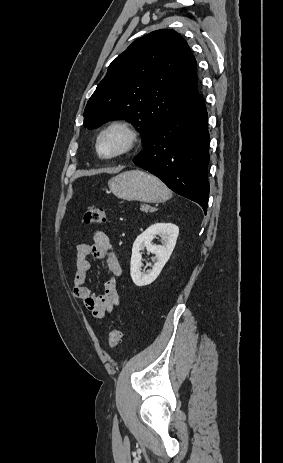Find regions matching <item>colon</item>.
<instances>
[{"label": "colon", "instance_id": "5ec220e1", "mask_svg": "<svg viewBox=\"0 0 283 463\" xmlns=\"http://www.w3.org/2000/svg\"><path fill=\"white\" fill-rule=\"evenodd\" d=\"M84 222L87 224H101L106 220L104 209L100 207L91 206L84 214ZM122 338V331L118 328L113 329L109 335V347L115 349Z\"/></svg>", "mask_w": 283, "mask_h": 463}]
</instances>
